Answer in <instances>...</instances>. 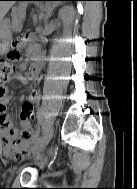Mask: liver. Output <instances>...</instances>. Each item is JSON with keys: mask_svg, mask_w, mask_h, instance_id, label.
<instances>
[{"mask_svg": "<svg viewBox=\"0 0 137 189\" xmlns=\"http://www.w3.org/2000/svg\"><path fill=\"white\" fill-rule=\"evenodd\" d=\"M14 3V1H0V22Z\"/></svg>", "mask_w": 137, "mask_h": 189, "instance_id": "liver-1", "label": "liver"}]
</instances>
